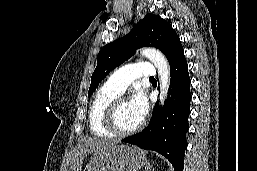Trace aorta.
<instances>
[{
	"label": "aorta",
	"instance_id": "obj_1",
	"mask_svg": "<svg viewBox=\"0 0 257 171\" xmlns=\"http://www.w3.org/2000/svg\"><path fill=\"white\" fill-rule=\"evenodd\" d=\"M140 54L148 58L157 68L160 81V102L164 103L170 85V68L166 57L154 48H143Z\"/></svg>",
	"mask_w": 257,
	"mask_h": 171
}]
</instances>
